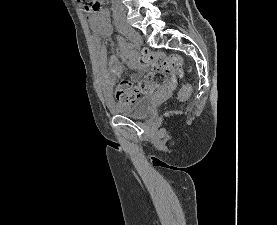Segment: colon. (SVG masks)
I'll use <instances>...</instances> for the list:
<instances>
[{
    "label": "colon",
    "mask_w": 277,
    "mask_h": 225,
    "mask_svg": "<svg viewBox=\"0 0 277 225\" xmlns=\"http://www.w3.org/2000/svg\"><path fill=\"white\" fill-rule=\"evenodd\" d=\"M78 2L83 3L89 12L96 13L102 7L99 0H78ZM135 62L139 67L151 68V72L139 84L122 80L116 88V99L119 102L132 103L142 94L156 93L164 84L166 74L178 78H182L184 74L182 58L177 54L166 55L144 50ZM191 92V86H182L178 94L179 100H186Z\"/></svg>",
    "instance_id": "5ec220e1"
}]
</instances>
